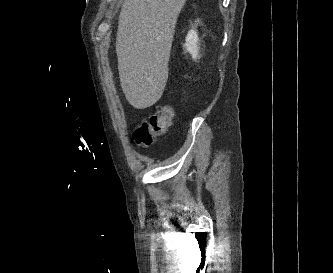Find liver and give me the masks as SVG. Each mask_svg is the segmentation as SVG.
<instances>
[{"mask_svg": "<svg viewBox=\"0 0 333 273\" xmlns=\"http://www.w3.org/2000/svg\"><path fill=\"white\" fill-rule=\"evenodd\" d=\"M186 0H125L119 15L116 53L122 90L136 109L154 105L168 80L178 16Z\"/></svg>", "mask_w": 333, "mask_h": 273, "instance_id": "6515ba94", "label": "liver"}]
</instances>
